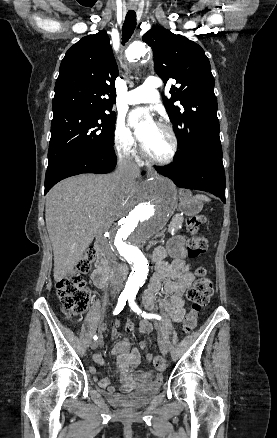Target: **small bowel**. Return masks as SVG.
<instances>
[{
	"label": "small bowel",
	"instance_id": "obj_1",
	"mask_svg": "<svg viewBox=\"0 0 277 438\" xmlns=\"http://www.w3.org/2000/svg\"><path fill=\"white\" fill-rule=\"evenodd\" d=\"M167 254V250L164 247H159L155 251L153 258L156 263V272L143 294L142 302L146 309L153 310L156 307V295L163 289L165 297L159 301V306L174 322H181L185 316L184 295L193 284L195 277L185 260L186 253L181 245H178L176 255L171 262L166 261ZM119 325L120 322L115 321L114 325L110 328L114 338H120L118 332ZM104 331H106V326L100 325L99 333ZM124 331L127 334H131L134 328L128 323ZM152 331L153 326L150 322L144 321L141 323V333H151ZM139 348L146 351V342L141 341ZM113 355L115 356L117 372L122 382V389L126 390L133 387L154 389L160 384L162 380L160 372L154 375L152 372L135 370L140 362V354L138 349H131V343L128 338H122L115 344ZM94 357L99 363H103L99 352H96ZM145 358L147 361H152L153 355L147 352ZM91 372L94 373V369H91ZM97 383L100 387L107 388L109 391L114 390L108 379L98 380Z\"/></svg>",
	"mask_w": 277,
	"mask_h": 438
}]
</instances>
